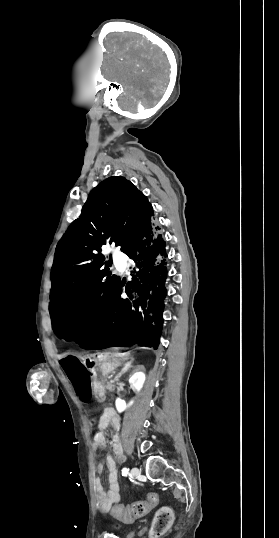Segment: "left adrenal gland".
I'll return each instance as SVG.
<instances>
[{
	"instance_id": "1",
	"label": "left adrenal gland",
	"mask_w": 279,
	"mask_h": 538,
	"mask_svg": "<svg viewBox=\"0 0 279 538\" xmlns=\"http://www.w3.org/2000/svg\"><path fill=\"white\" fill-rule=\"evenodd\" d=\"M133 360H130V362H126V364H124V368H122L121 372H119V374H117L116 378H114V380H118V378H121V376H123V374H126V372H129L130 368H133V366H131Z\"/></svg>"
}]
</instances>
